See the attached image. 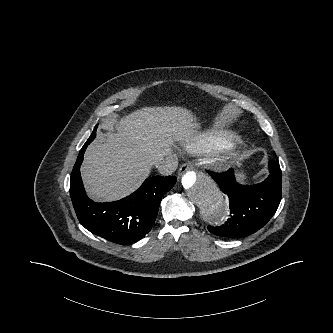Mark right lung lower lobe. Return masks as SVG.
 <instances>
[{"instance_id": "right-lung-lower-lobe-1", "label": "right lung lower lobe", "mask_w": 333, "mask_h": 333, "mask_svg": "<svg viewBox=\"0 0 333 333\" xmlns=\"http://www.w3.org/2000/svg\"><path fill=\"white\" fill-rule=\"evenodd\" d=\"M95 135L93 131L80 150L71 174L70 196L77 218L83 227L97 236L118 244H132L151 230L161 198L175 185L177 178L151 177L124 199L108 203L93 202L85 194L80 165Z\"/></svg>"}]
</instances>
